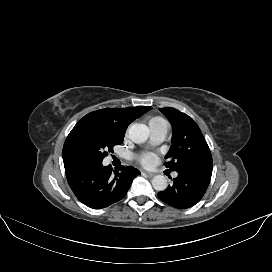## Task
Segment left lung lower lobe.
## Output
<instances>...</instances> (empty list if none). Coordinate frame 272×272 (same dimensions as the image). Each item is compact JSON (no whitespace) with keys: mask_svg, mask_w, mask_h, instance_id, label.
<instances>
[{"mask_svg":"<svg viewBox=\"0 0 272 272\" xmlns=\"http://www.w3.org/2000/svg\"><path fill=\"white\" fill-rule=\"evenodd\" d=\"M177 172L173 185L159 192L158 197L170 206L186 209L197 204L205 194L212 175V164L186 166Z\"/></svg>","mask_w":272,"mask_h":272,"instance_id":"obj_1","label":"left lung lower lobe"}]
</instances>
